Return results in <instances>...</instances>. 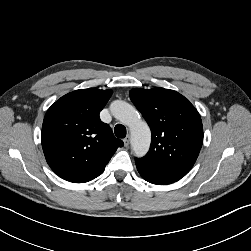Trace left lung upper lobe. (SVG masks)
I'll use <instances>...</instances> for the list:
<instances>
[{
    "mask_svg": "<svg viewBox=\"0 0 251 251\" xmlns=\"http://www.w3.org/2000/svg\"><path fill=\"white\" fill-rule=\"evenodd\" d=\"M129 96L152 133L148 153L136 162L188 173L203 143L202 121L194 106L180 93L160 87L132 89Z\"/></svg>",
    "mask_w": 251,
    "mask_h": 251,
    "instance_id": "1",
    "label": "left lung upper lobe"
}]
</instances>
